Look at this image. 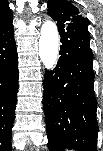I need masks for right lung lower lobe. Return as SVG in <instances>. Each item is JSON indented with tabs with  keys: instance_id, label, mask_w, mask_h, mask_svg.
Masks as SVG:
<instances>
[{
	"instance_id": "right-lung-lower-lobe-1",
	"label": "right lung lower lobe",
	"mask_w": 103,
	"mask_h": 151,
	"mask_svg": "<svg viewBox=\"0 0 103 151\" xmlns=\"http://www.w3.org/2000/svg\"><path fill=\"white\" fill-rule=\"evenodd\" d=\"M18 92V58L13 26L0 31V142L11 149V130Z\"/></svg>"
}]
</instances>
